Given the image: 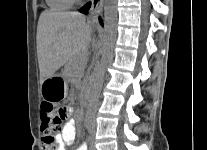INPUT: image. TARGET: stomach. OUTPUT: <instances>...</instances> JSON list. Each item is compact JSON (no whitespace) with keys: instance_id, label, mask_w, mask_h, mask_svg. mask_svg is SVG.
<instances>
[{"instance_id":"obj_1","label":"stomach","mask_w":207,"mask_h":150,"mask_svg":"<svg viewBox=\"0 0 207 150\" xmlns=\"http://www.w3.org/2000/svg\"><path fill=\"white\" fill-rule=\"evenodd\" d=\"M41 94L44 99L50 101L64 99L68 96L67 81L60 76L53 75L41 84Z\"/></svg>"}]
</instances>
